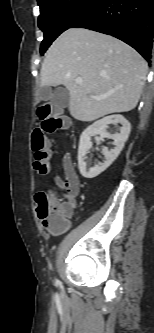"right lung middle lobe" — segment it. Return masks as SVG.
Segmentation results:
<instances>
[{
  "label": "right lung middle lobe",
  "instance_id": "right-lung-middle-lobe-1",
  "mask_svg": "<svg viewBox=\"0 0 154 333\" xmlns=\"http://www.w3.org/2000/svg\"><path fill=\"white\" fill-rule=\"evenodd\" d=\"M101 0H39L38 26L44 32L41 55L65 30L85 17Z\"/></svg>",
  "mask_w": 154,
  "mask_h": 333
}]
</instances>
